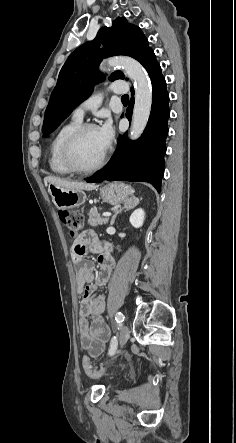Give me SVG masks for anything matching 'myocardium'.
I'll return each instance as SVG.
<instances>
[{"mask_svg": "<svg viewBox=\"0 0 236 443\" xmlns=\"http://www.w3.org/2000/svg\"><path fill=\"white\" fill-rule=\"evenodd\" d=\"M99 127L94 123H82L80 124L75 130H73L69 136L66 138V140L63 143L62 146V161L65 164V166L72 172L77 174H92L99 169H101L104 164L106 163V160L109 155V148H106L103 155L100 157L98 162L94 164L91 167L84 168L79 166L75 159H74V147L77 143V141L80 139V137L88 130L90 129H98Z\"/></svg>", "mask_w": 236, "mask_h": 443, "instance_id": "1", "label": "myocardium"}]
</instances>
